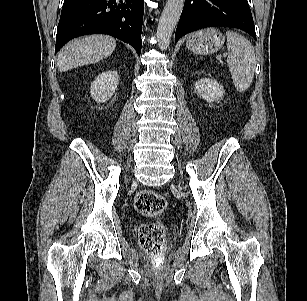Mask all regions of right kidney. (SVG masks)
<instances>
[{"instance_id":"right-kidney-1","label":"right kidney","mask_w":307,"mask_h":301,"mask_svg":"<svg viewBox=\"0 0 307 301\" xmlns=\"http://www.w3.org/2000/svg\"><path fill=\"white\" fill-rule=\"evenodd\" d=\"M119 75L117 71H104L92 82L90 93L97 102H106L117 89Z\"/></svg>"}]
</instances>
